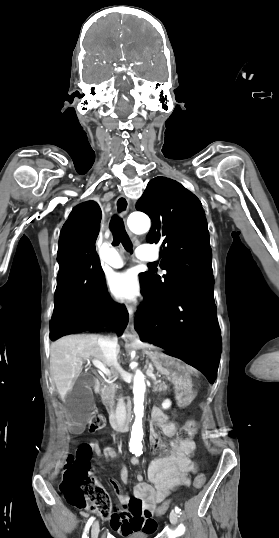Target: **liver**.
<instances>
[{"label":"liver","mask_w":279,"mask_h":538,"mask_svg":"<svg viewBox=\"0 0 279 538\" xmlns=\"http://www.w3.org/2000/svg\"><path fill=\"white\" fill-rule=\"evenodd\" d=\"M119 354V348H117ZM88 358H96L106 364V358L98 344V336H64L52 342L50 350V374L61 396L62 402L68 392H71L79 374L82 364Z\"/></svg>","instance_id":"obj_1"}]
</instances>
